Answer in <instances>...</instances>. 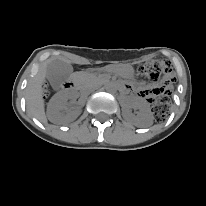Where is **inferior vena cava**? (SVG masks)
<instances>
[{
  "instance_id": "inferior-vena-cava-1",
  "label": "inferior vena cava",
  "mask_w": 206,
  "mask_h": 206,
  "mask_svg": "<svg viewBox=\"0 0 206 206\" xmlns=\"http://www.w3.org/2000/svg\"><path fill=\"white\" fill-rule=\"evenodd\" d=\"M93 89H95V87L89 88V89H87L86 91L89 92V91H91V90H93Z\"/></svg>"
}]
</instances>
